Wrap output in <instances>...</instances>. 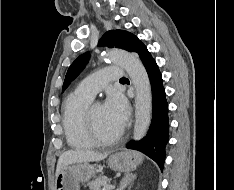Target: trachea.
<instances>
[{
    "mask_svg": "<svg viewBox=\"0 0 234 190\" xmlns=\"http://www.w3.org/2000/svg\"><path fill=\"white\" fill-rule=\"evenodd\" d=\"M127 78H125V77H122L120 80H126Z\"/></svg>",
    "mask_w": 234,
    "mask_h": 190,
    "instance_id": "trachea-1",
    "label": "trachea"
}]
</instances>
